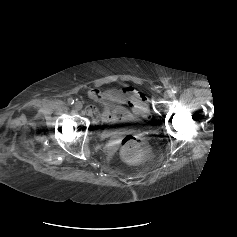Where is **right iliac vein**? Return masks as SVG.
Listing matches in <instances>:
<instances>
[{
    "mask_svg": "<svg viewBox=\"0 0 237 237\" xmlns=\"http://www.w3.org/2000/svg\"><path fill=\"white\" fill-rule=\"evenodd\" d=\"M74 107H75L76 110H81L82 107H83V104L80 101H76L75 104H74Z\"/></svg>",
    "mask_w": 237,
    "mask_h": 237,
    "instance_id": "63e3f726",
    "label": "right iliac vein"
}]
</instances>
